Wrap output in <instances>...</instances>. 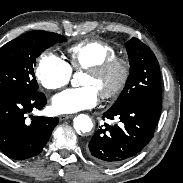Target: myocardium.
Here are the masks:
<instances>
[{
  "mask_svg": "<svg viewBox=\"0 0 183 183\" xmlns=\"http://www.w3.org/2000/svg\"><path fill=\"white\" fill-rule=\"evenodd\" d=\"M115 68L120 69V77L111 89L100 93V97L104 100L115 98L124 90L131 74L130 62L124 57L114 56L97 65L85 69L86 73L95 77H100Z\"/></svg>",
  "mask_w": 183,
  "mask_h": 183,
  "instance_id": "f54148a6",
  "label": "myocardium"
}]
</instances>
